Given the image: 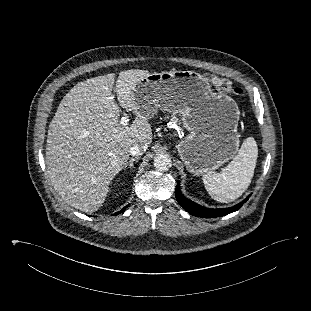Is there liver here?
Masks as SVG:
<instances>
[{
	"mask_svg": "<svg viewBox=\"0 0 311 311\" xmlns=\"http://www.w3.org/2000/svg\"><path fill=\"white\" fill-rule=\"evenodd\" d=\"M149 71H121L87 79L62 99L47 136L46 166L54 189L72 207L98 210L112 179L130 156V147L152 142V128L134 101V90ZM120 106L136 115L129 126L119 122Z\"/></svg>",
	"mask_w": 311,
	"mask_h": 311,
	"instance_id": "6515ba94",
	"label": "liver"
}]
</instances>
